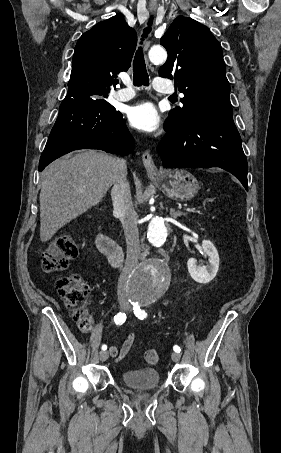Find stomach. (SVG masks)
Wrapping results in <instances>:
<instances>
[{"label":"stomach","mask_w":281,"mask_h":453,"mask_svg":"<svg viewBox=\"0 0 281 453\" xmlns=\"http://www.w3.org/2000/svg\"><path fill=\"white\" fill-rule=\"evenodd\" d=\"M152 180H159V186L169 198L174 200H190L199 190V182L187 170H162L158 176H150Z\"/></svg>","instance_id":"obj_1"}]
</instances>
